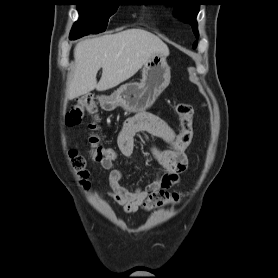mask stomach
Segmentation results:
<instances>
[{
	"mask_svg": "<svg viewBox=\"0 0 278 278\" xmlns=\"http://www.w3.org/2000/svg\"><path fill=\"white\" fill-rule=\"evenodd\" d=\"M167 55L157 53L143 65L142 79L120 87L110 96H102L100 105L111 111L122 107L131 113H138L150 108L157 97L169 85L171 79Z\"/></svg>",
	"mask_w": 278,
	"mask_h": 278,
	"instance_id": "0dacf381",
	"label": "stomach"
}]
</instances>
